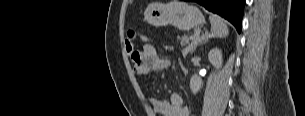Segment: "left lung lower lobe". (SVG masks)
Segmentation results:
<instances>
[{
  "label": "left lung lower lobe",
  "instance_id": "obj_1",
  "mask_svg": "<svg viewBox=\"0 0 305 116\" xmlns=\"http://www.w3.org/2000/svg\"><path fill=\"white\" fill-rule=\"evenodd\" d=\"M229 20L240 33L245 0H192Z\"/></svg>",
  "mask_w": 305,
  "mask_h": 116
}]
</instances>
